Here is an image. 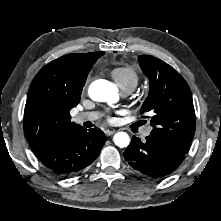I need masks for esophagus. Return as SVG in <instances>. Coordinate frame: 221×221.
<instances>
[{
	"mask_svg": "<svg viewBox=\"0 0 221 221\" xmlns=\"http://www.w3.org/2000/svg\"><path fill=\"white\" fill-rule=\"evenodd\" d=\"M116 132V130H105V135L106 136H111V135H113L114 133Z\"/></svg>",
	"mask_w": 221,
	"mask_h": 221,
	"instance_id": "obj_1",
	"label": "esophagus"
}]
</instances>
